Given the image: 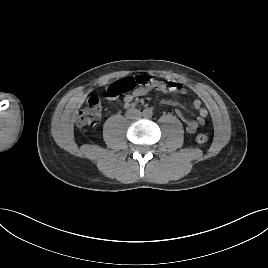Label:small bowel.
<instances>
[{
  "instance_id": "1",
  "label": "small bowel",
  "mask_w": 268,
  "mask_h": 268,
  "mask_svg": "<svg viewBox=\"0 0 268 268\" xmlns=\"http://www.w3.org/2000/svg\"><path fill=\"white\" fill-rule=\"evenodd\" d=\"M148 89L143 87H138L134 89L131 93L127 94L123 98V102L126 106H129L136 98L146 95ZM181 94H186L187 90L185 88H179ZM194 108L198 111V115L194 119L187 118L181 112L177 111L178 117L185 124L186 131L190 134L197 132V130L205 124V119L208 116V110L202 106L200 99H195L193 101Z\"/></svg>"
}]
</instances>
